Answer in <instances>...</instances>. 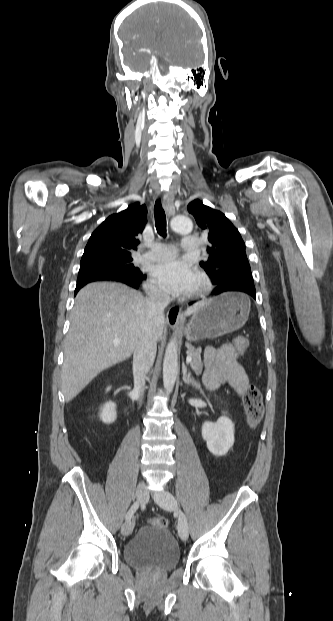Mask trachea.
I'll list each match as a JSON object with an SVG mask.
<instances>
[{
  "label": "trachea",
  "mask_w": 333,
  "mask_h": 621,
  "mask_svg": "<svg viewBox=\"0 0 333 621\" xmlns=\"http://www.w3.org/2000/svg\"><path fill=\"white\" fill-rule=\"evenodd\" d=\"M155 226L159 235L165 237L166 233V215L161 204V200L157 199L154 206Z\"/></svg>",
  "instance_id": "obj_1"
}]
</instances>
